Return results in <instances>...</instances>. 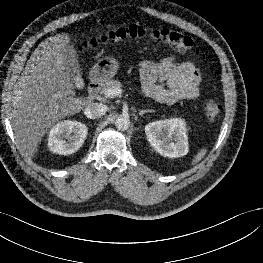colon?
Segmentation results:
<instances>
[{"label":"colon","mask_w":263,"mask_h":263,"mask_svg":"<svg viewBox=\"0 0 263 263\" xmlns=\"http://www.w3.org/2000/svg\"><path fill=\"white\" fill-rule=\"evenodd\" d=\"M127 38L155 39L169 45L180 53H186L193 46V41L191 38L181 32L167 28L147 29L141 25L131 24L114 28L103 34L86 40L83 43V48H93L101 44L117 42ZM221 110V104L214 99H209L204 103V115L210 122H214L219 117Z\"/></svg>","instance_id":"obj_1"}]
</instances>
